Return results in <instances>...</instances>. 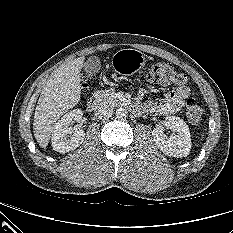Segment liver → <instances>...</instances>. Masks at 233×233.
<instances>
[{
	"instance_id": "6515ba94",
	"label": "liver",
	"mask_w": 233,
	"mask_h": 233,
	"mask_svg": "<svg viewBox=\"0 0 233 233\" xmlns=\"http://www.w3.org/2000/svg\"><path fill=\"white\" fill-rule=\"evenodd\" d=\"M84 60L79 57L58 68L42 89L33 122L34 136L42 148L48 145L57 120L80 100Z\"/></svg>"
}]
</instances>
